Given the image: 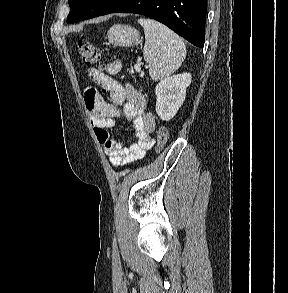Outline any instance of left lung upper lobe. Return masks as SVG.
Returning a JSON list of instances; mask_svg holds the SVG:
<instances>
[{"instance_id": "1", "label": "left lung upper lobe", "mask_w": 288, "mask_h": 293, "mask_svg": "<svg viewBox=\"0 0 288 293\" xmlns=\"http://www.w3.org/2000/svg\"><path fill=\"white\" fill-rule=\"evenodd\" d=\"M116 0H68L70 12L67 23L94 18L101 15Z\"/></svg>"}]
</instances>
